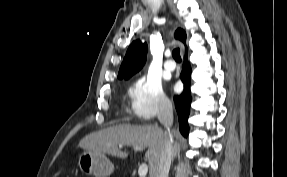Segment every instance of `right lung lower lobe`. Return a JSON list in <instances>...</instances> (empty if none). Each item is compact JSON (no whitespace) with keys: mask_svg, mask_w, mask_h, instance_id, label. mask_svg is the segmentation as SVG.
I'll return each instance as SVG.
<instances>
[{"mask_svg":"<svg viewBox=\"0 0 287 177\" xmlns=\"http://www.w3.org/2000/svg\"><path fill=\"white\" fill-rule=\"evenodd\" d=\"M187 51V48H186ZM190 75L191 67L188 62H184L180 78L184 84V90L181 95L174 96L175 107L178 114L179 129L183 136H187L189 132L188 116L190 114V103L192 100L190 92Z\"/></svg>","mask_w":287,"mask_h":177,"instance_id":"98d812e1","label":"right lung lower lobe"}]
</instances>
